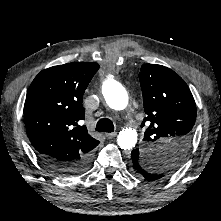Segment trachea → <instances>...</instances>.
I'll list each match as a JSON object with an SVG mask.
<instances>
[{
    "instance_id": "obj_1",
    "label": "trachea",
    "mask_w": 221,
    "mask_h": 221,
    "mask_svg": "<svg viewBox=\"0 0 221 221\" xmlns=\"http://www.w3.org/2000/svg\"><path fill=\"white\" fill-rule=\"evenodd\" d=\"M96 131L111 133L114 131V124L110 119L102 118L97 122Z\"/></svg>"
}]
</instances>
